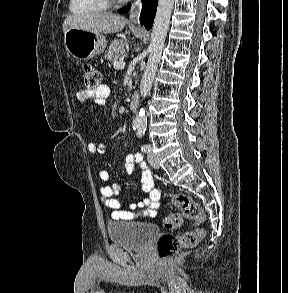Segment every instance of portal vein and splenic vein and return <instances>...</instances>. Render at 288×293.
<instances>
[{
  "label": "portal vein and splenic vein",
  "mask_w": 288,
  "mask_h": 293,
  "mask_svg": "<svg viewBox=\"0 0 288 293\" xmlns=\"http://www.w3.org/2000/svg\"><path fill=\"white\" fill-rule=\"evenodd\" d=\"M115 69H122L125 66V61L123 58L119 59L118 61H115L113 64Z\"/></svg>",
  "instance_id": "18ae733b"
}]
</instances>
